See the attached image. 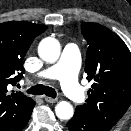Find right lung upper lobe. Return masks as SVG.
<instances>
[{"instance_id": "obj_1", "label": "right lung upper lobe", "mask_w": 131, "mask_h": 131, "mask_svg": "<svg viewBox=\"0 0 131 131\" xmlns=\"http://www.w3.org/2000/svg\"><path fill=\"white\" fill-rule=\"evenodd\" d=\"M46 29L25 21L0 24V131H21L31 116L34 100L11 92L10 86L22 78L23 58L34 38Z\"/></svg>"}]
</instances>
